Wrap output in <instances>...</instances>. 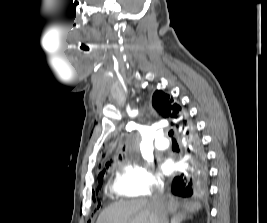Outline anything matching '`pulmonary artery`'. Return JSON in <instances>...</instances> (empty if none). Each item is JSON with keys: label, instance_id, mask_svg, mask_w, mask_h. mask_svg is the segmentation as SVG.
Listing matches in <instances>:
<instances>
[{"label": "pulmonary artery", "instance_id": "pulmonary-artery-1", "mask_svg": "<svg viewBox=\"0 0 267 223\" xmlns=\"http://www.w3.org/2000/svg\"><path fill=\"white\" fill-rule=\"evenodd\" d=\"M170 143L167 138H165L162 134H157L155 136V146L159 150H165L169 147Z\"/></svg>", "mask_w": 267, "mask_h": 223}]
</instances>
